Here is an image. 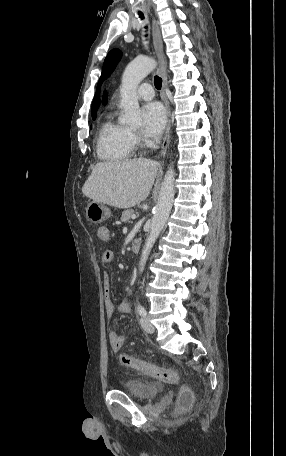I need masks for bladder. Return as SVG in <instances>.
Here are the masks:
<instances>
[{
  "instance_id": "obj_1",
  "label": "bladder",
  "mask_w": 286,
  "mask_h": 456,
  "mask_svg": "<svg viewBox=\"0 0 286 456\" xmlns=\"http://www.w3.org/2000/svg\"><path fill=\"white\" fill-rule=\"evenodd\" d=\"M123 390L139 400H151L156 397L161 388L156 383L142 379L131 378L125 381Z\"/></svg>"
}]
</instances>
